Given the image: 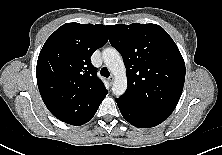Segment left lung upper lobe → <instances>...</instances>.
Returning a JSON list of instances; mask_svg holds the SVG:
<instances>
[{
    "label": "left lung upper lobe",
    "mask_w": 222,
    "mask_h": 155,
    "mask_svg": "<svg viewBox=\"0 0 222 155\" xmlns=\"http://www.w3.org/2000/svg\"><path fill=\"white\" fill-rule=\"evenodd\" d=\"M109 41L122 55L128 87L120 100L169 116L184 86L185 63L169 34L156 24L108 25Z\"/></svg>",
    "instance_id": "5c2ea615"
}]
</instances>
